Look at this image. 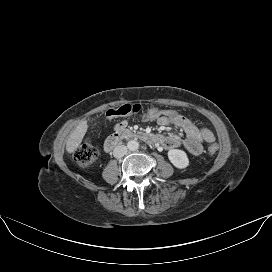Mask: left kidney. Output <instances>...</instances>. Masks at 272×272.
<instances>
[{
  "label": "left kidney",
  "instance_id": "left-kidney-1",
  "mask_svg": "<svg viewBox=\"0 0 272 272\" xmlns=\"http://www.w3.org/2000/svg\"><path fill=\"white\" fill-rule=\"evenodd\" d=\"M170 162L179 169H184L189 165L187 154L180 149H171L168 151Z\"/></svg>",
  "mask_w": 272,
  "mask_h": 272
}]
</instances>
